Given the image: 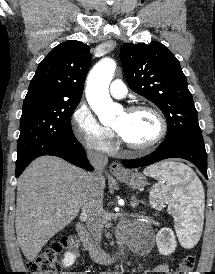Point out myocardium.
<instances>
[{"mask_svg": "<svg viewBox=\"0 0 215 274\" xmlns=\"http://www.w3.org/2000/svg\"><path fill=\"white\" fill-rule=\"evenodd\" d=\"M125 111L128 113H132L136 111H149L157 118V121L159 124V131L157 135L151 141L145 144H140V145L131 144L127 142L126 140H124L119 134L122 144L128 149L136 152H147L152 150L154 147H156L166 137L168 132V123L163 113L156 106L151 104H145V103L134 104L127 107Z\"/></svg>", "mask_w": 215, "mask_h": 274, "instance_id": "obj_1", "label": "myocardium"}]
</instances>
